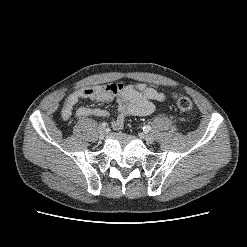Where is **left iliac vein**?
Returning <instances> with one entry per match:
<instances>
[{
  "label": "left iliac vein",
  "instance_id": "left-iliac-vein-1",
  "mask_svg": "<svg viewBox=\"0 0 247 247\" xmlns=\"http://www.w3.org/2000/svg\"><path fill=\"white\" fill-rule=\"evenodd\" d=\"M139 137L143 140H145L148 144H152L154 142V138L150 134L146 133H139Z\"/></svg>",
  "mask_w": 247,
  "mask_h": 247
}]
</instances>
